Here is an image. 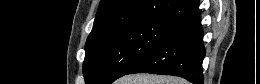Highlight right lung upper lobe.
<instances>
[{
  "label": "right lung upper lobe",
  "instance_id": "1",
  "mask_svg": "<svg viewBox=\"0 0 260 84\" xmlns=\"http://www.w3.org/2000/svg\"><path fill=\"white\" fill-rule=\"evenodd\" d=\"M198 0H101L87 42L123 26L146 21L176 24L198 10Z\"/></svg>",
  "mask_w": 260,
  "mask_h": 84
}]
</instances>
